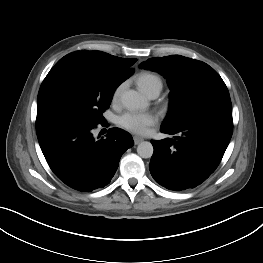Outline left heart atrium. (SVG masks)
<instances>
[{
	"mask_svg": "<svg viewBox=\"0 0 263 263\" xmlns=\"http://www.w3.org/2000/svg\"><path fill=\"white\" fill-rule=\"evenodd\" d=\"M156 117L151 113L125 112L117 118V123L124 129L137 134H146L154 125Z\"/></svg>",
	"mask_w": 263,
	"mask_h": 263,
	"instance_id": "obj_1",
	"label": "left heart atrium"
}]
</instances>
